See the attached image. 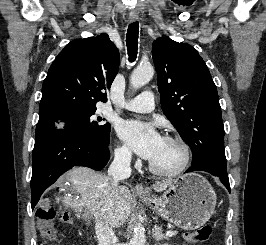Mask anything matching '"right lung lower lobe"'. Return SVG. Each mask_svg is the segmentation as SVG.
I'll return each instance as SVG.
<instances>
[{"mask_svg": "<svg viewBox=\"0 0 266 245\" xmlns=\"http://www.w3.org/2000/svg\"><path fill=\"white\" fill-rule=\"evenodd\" d=\"M108 145L63 129L36 138L32 154V210L45 189L71 167L103 169L110 158Z\"/></svg>", "mask_w": 266, "mask_h": 245, "instance_id": "obj_1", "label": "right lung lower lobe"}]
</instances>
